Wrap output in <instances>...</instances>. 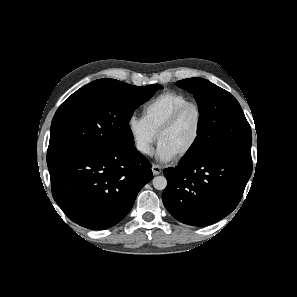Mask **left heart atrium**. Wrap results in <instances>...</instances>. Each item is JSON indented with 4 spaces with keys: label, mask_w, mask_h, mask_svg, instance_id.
<instances>
[{
    "label": "left heart atrium",
    "mask_w": 297,
    "mask_h": 297,
    "mask_svg": "<svg viewBox=\"0 0 297 297\" xmlns=\"http://www.w3.org/2000/svg\"><path fill=\"white\" fill-rule=\"evenodd\" d=\"M155 155L161 162H169L177 156L173 150L160 141L158 142Z\"/></svg>",
    "instance_id": "obj_1"
}]
</instances>
